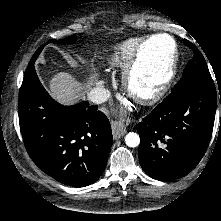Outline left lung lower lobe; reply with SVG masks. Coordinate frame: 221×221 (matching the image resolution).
I'll return each instance as SVG.
<instances>
[{
    "instance_id": "0a47b994",
    "label": "left lung lower lobe",
    "mask_w": 221,
    "mask_h": 221,
    "mask_svg": "<svg viewBox=\"0 0 221 221\" xmlns=\"http://www.w3.org/2000/svg\"><path fill=\"white\" fill-rule=\"evenodd\" d=\"M217 98L213 81L191 79L137 124L139 162L147 175L171 181L197 166L211 139Z\"/></svg>"
}]
</instances>
